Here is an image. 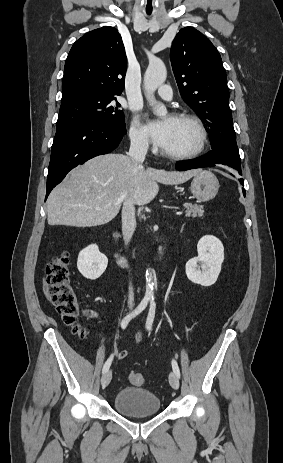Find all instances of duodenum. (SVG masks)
<instances>
[{
    "instance_id": "obj_1",
    "label": "duodenum",
    "mask_w": 283,
    "mask_h": 463,
    "mask_svg": "<svg viewBox=\"0 0 283 463\" xmlns=\"http://www.w3.org/2000/svg\"><path fill=\"white\" fill-rule=\"evenodd\" d=\"M114 243H115V249H114V252H113V257L114 259L117 261V263L121 266H124L127 264V257L126 256H123L120 254L119 250H118V234H115L114 235ZM167 245H168V240L164 241L156 250L155 252V255H154V260L155 261H161L164 257V254H165V250L167 248Z\"/></svg>"
}]
</instances>
